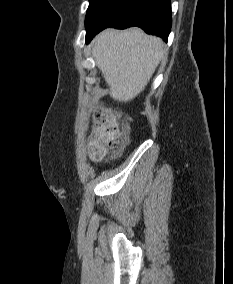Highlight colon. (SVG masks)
Masks as SVG:
<instances>
[{"label": "colon", "mask_w": 233, "mask_h": 284, "mask_svg": "<svg viewBox=\"0 0 233 284\" xmlns=\"http://www.w3.org/2000/svg\"><path fill=\"white\" fill-rule=\"evenodd\" d=\"M119 145V137L116 123L110 114L99 109L94 115V126L89 142V155L95 161L105 159L111 150Z\"/></svg>", "instance_id": "1"}]
</instances>
